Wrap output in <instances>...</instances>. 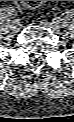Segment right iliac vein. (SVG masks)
Listing matches in <instances>:
<instances>
[{
  "instance_id": "obj_1",
  "label": "right iliac vein",
  "mask_w": 74,
  "mask_h": 122,
  "mask_svg": "<svg viewBox=\"0 0 74 122\" xmlns=\"http://www.w3.org/2000/svg\"><path fill=\"white\" fill-rule=\"evenodd\" d=\"M7 9V8H6ZM13 29H14V31H16V32H18L19 30H20V28H21V24H20V22L19 21H14L13 22Z\"/></svg>"
}]
</instances>
